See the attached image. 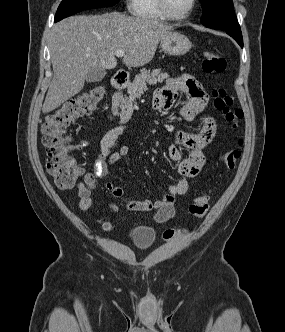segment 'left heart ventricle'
<instances>
[{
    "label": "left heart ventricle",
    "instance_id": "1",
    "mask_svg": "<svg viewBox=\"0 0 285 332\" xmlns=\"http://www.w3.org/2000/svg\"><path fill=\"white\" fill-rule=\"evenodd\" d=\"M171 12L175 15L184 14L191 5V0H167Z\"/></svg>",
    "mask_w": 285,
    "mask_h": 332
}]
</instances>
